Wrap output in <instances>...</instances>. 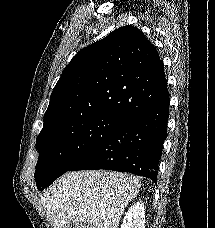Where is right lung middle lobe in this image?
I'll return each mask as SVG.
<instances>
[{
	"mask_svg": "<svg viewBox=\"0 0 215 228\" xmlns=\"http://www.w3.org/2000/svg\"><path fill=\"white\" fill-rule=\"evenodd\" d=\"M124 119L98 115L40 133L36 140L39 158L34 175L38 189L42 191L67 172Z\"/></svg>",
	"mask_w": 215,
	"mask_h": 228,
	"instance_id": "obj_1",
	"label": "right lung middle lobe"
}]
</instances>
